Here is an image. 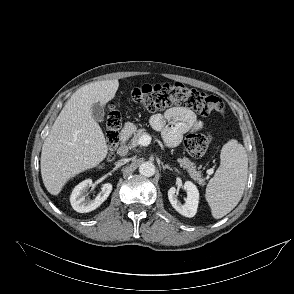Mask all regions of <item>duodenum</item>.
Here are the masks:
<instances>
[{
  "label": "duodenum",
  "mask_w": 294,
  "mask_h": 294,
  "mask_svg": "<svg viewBox=\"0 0 294 294\" xmlns=\"http://www.w3.org/2000/svg\"><path fill=\"white\" fill-rule=\"evenodd\" d=\"M133 132V125L130 122H126L120 132L119 135V142H118V153L121 156H125L128 153V148H127V141L132 135Z\"/></svg>",
  "instance_id": "1"
}]
</instances>
